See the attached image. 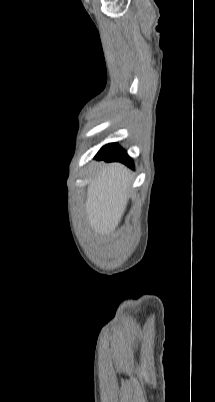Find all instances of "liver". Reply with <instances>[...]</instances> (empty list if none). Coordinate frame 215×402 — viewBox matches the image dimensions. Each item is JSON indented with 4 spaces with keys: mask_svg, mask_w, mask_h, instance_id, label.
I'll use <instances>...</instances> for the list:
<instances>
[{
    "mask_svg": "<svg viewBox=\"0 0 215 402\" xmlns=\"http://www.w3.org/2000/svg\"><path fill=\"white\" fill-rule=\"evenodd\" d=\"M132 176L120 163L103 165L94 172L86 196V215L96 234L109 236L125 212Z\"/></svg>",
    "mask_w": 215,
    "mask_h": 402,
    "instance_id": "obj_1",
    "label": "liver"
}]
</instances>
